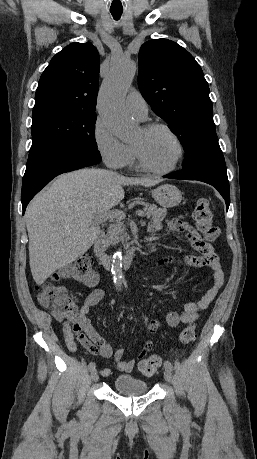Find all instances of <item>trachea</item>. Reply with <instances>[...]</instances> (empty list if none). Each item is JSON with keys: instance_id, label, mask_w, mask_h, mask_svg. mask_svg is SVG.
<instances>
[{"instance_id": "1", "label": "trachea", "mask_w": 257, "mask_h": 459, "mask_svg": "<svg viewBox=\"0 0 257 459\" xmlns=\"http://www.w3.org/2000/svg\"><path fill=\"white\" fill-rule=\"evenodd\" d=\"M110 12L115 20H118L123 13V11H110Z\"/></svg>"}]
</instances>
